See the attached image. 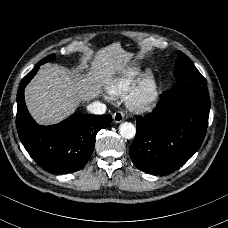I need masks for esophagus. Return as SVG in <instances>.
I'll list each match as a JSON object with an SVG mask.
<instances>
[{
	"mask_svg": "<svg viewBox=\"0 0 228 228\" xmlns=\"http://www.w3.org/2000/svg\"><path fill=\"white\" fill-rule=\"evenodd\" d=\"M113 120L115 123H120L124 120V113L122 111H116L113 114Z\"/></svg>",
	"mask_w": 228,
	"mask_h": 228,
	"instance_id": "1",
	"label": "esophagus"
}]
</instances>
